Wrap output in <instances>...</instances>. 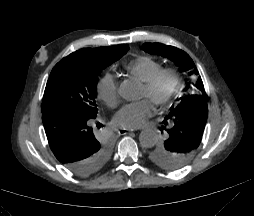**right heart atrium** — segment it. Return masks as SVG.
I'll list each match as a JSON object with an SVG mask.
<instances>
[{"label": "right heart atrium", "instance_id": "right-heart-atrium-1", "mask_svg": "<svg viewBox=\"0 0 254 216\" xmlns=\"http://www.w3.org/2000/svg\"><path fill=\"white\" fill-rule=\"evenodd\" d=\"M97 93L108 107L115 108L119 102L118 83L110 74H106L97 85Z\"/></svg>", "mask_w": 254, "mask_h": 216}]
</instances>
